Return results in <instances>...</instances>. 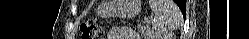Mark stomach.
<instances>
[{
  "label": "stomach",
  "instance_id": "0dacf381",
  "mask_svg": "<svg viewBox=\"0 0 249 39\" xmlns=\"http://www.w3.org/2000/svg\"><path fill=\"white\" fill-rule=\"evenodd\" d=\"M107 4L109 3L102 4L99 11L124 18L134 17L141 11L140 3L137 0H113L110 1L109 6H106Z\"/></svg>",
  "mask_w": 249,
  "mask_h": 39
}]
</instances>
